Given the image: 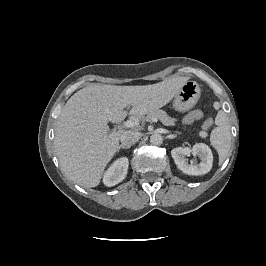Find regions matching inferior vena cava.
<instances>
[{"label":"inferior vena cava","mask_w":266,"mask_h":266,"mask_svg":"<svg viewBox=\"0 0 266 266\" xmlns=\"http://www.w3.org/2000/svg\"><path fill=\"white\" fill-rule=\"evenodd\" d=\"M140 136L141 134L139 132L129 130V131L124 132L121 135L120 141L123 146L130 148L140 139Z\"/></svg>","instance_id":"1"}]
</instances>
